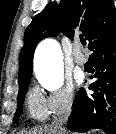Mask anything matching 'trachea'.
I'll list each match as a JSON object with an SVG mask.
<instances>
[{
    "instance_id": "trachea-1",
    "label": "trachea",
    "mask_w": 116,
    "mask_h": 134,
    "mask_svg": "<svg viewBox=\"0 0 116 134\" xmlns=\"http://www.w3.org/2000/svg\"><path fill=\"white\" fill-rule=\"evenodd\" d=\"M80 41H81V44H82L83 46L86 45V40H85V39H80Z\"/></svg>"
}]
</instances>
